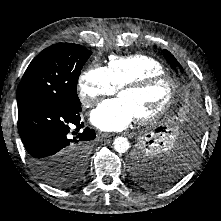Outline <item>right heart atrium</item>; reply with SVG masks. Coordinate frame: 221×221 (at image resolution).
I'll use <instances>...</instances> for the list:
<instances>
[{"label": "right heart atrium", "instance_id": "right-heart-atrium-1", "mask_svg": "<svg viewBox=\"0 0 221 221\" xmlns=\"http://www.w3.org/2000/svg\"><path fill=\"white\" fill-rule=\"evenodd\" d=\"M106 67L93 65L85 70L79 77L78 93L85 107L93 106L101 97L116 92Z\"/></svg>", "mask_w": 221, "mask_h": 221}]
</instances>
